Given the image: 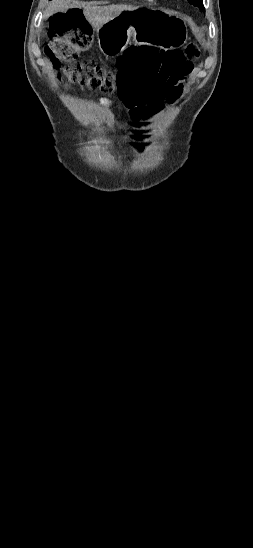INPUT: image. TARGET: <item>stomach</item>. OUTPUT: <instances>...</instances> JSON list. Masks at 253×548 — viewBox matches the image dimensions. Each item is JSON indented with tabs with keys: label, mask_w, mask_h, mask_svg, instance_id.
Returning <instances> with one entry per match:
<instances>
[{
	"label": "stomach",
	"mask_w": 253,
	"mask_h": 548,
	"mask_svg": "<svg viewBox=\"0 0 253 548\" xmlns=\"http://www.w3.org/2000/svg\"><path fill=\"white\" fill-rule=\"evenodd\" d=\"M99 48L106 56L121 54L131 39L136 44L180 46L186 40L181 18L153 9L135 8L113 17L97 29Z\"/></svg>",
	"instance_id": "0dacf381"
}]
</instances>
